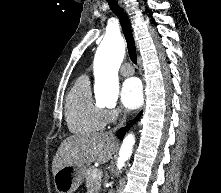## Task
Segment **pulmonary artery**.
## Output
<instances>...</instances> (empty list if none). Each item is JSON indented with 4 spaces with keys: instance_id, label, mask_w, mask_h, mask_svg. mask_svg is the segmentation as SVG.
<instances>
[{
    "instance_id": "e3ab8cb5",
    "label": "pulmonary artery",
    "mask_w": 221,
    "mask_h": 193,
    "mask_svg": "<svg viewBox=\"0 0 221 193\" xmlns=\"http://www.w3.org/2000/svg\"><path fill=\"white\" fill-rule=\"evenodd\" d=\"M120 72L123 76H130L134 73V70L130 64H123Z\"/></svg>"
}]
</instances>
